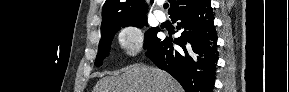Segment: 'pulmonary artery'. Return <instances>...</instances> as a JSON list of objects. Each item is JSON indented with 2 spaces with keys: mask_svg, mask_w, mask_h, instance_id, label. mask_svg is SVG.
<instances>
[{
  "mask_svg": "<svg viewBox=\"0 0 289 92\" xmlns=\"http://www.w3.org/2000/svg\"><path fill=\"white\" fill-rule=\"evenodd\" d=\"M155 17L159 22H164L166 20V15L160 10L155 11Z\"/></svg>",
  "mask_w": 289,
  "mask_h": 92,
  "instance_id": "1",
  "label": "pulmonary artery"
}]
</instances>
